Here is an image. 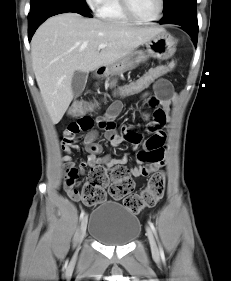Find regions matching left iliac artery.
<instances>
[{"label":"left iliac artery","instance_id":"44dca946","mask_svg":"<svg viewBox=\"0 0 231 281\" xmlns=\"http://www.w3.org/2000/svg\"><path fill=\"white\" fill-rule=\"evenodd\" d=\"M149 225H150L153 233L155 234L156 238L158 239L156 228H155L154 224L151 221H149ZM160 254H161L162 257L164 256V253H163V250H162L161 246H160Z\"/></svg>","mask_w":231,"mask_h":281}]
</instances>
